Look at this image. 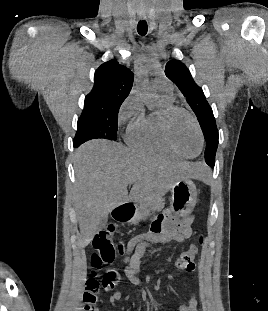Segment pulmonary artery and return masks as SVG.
I'll list each match as a JSON object with an SVG mask.
<instances>
[{
  "label": "pulmonary artery",
  "mask_w": 268,
  "mask_h": 311,
  "mask_svg": "<svg viewBox=\"0 0 268 311\" xmlns=\"http://www.w3.org/2000/svg\"><path fill=\"white\" fill-rule=\"evenodd\" d=\"M153 86L156 91L172 97L173 87L165 77L156 78L153 82Z\"/></svg>",
  "instance_id": "e3ab8cb5"
}]
</instances>
